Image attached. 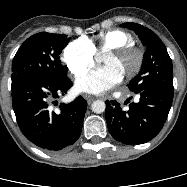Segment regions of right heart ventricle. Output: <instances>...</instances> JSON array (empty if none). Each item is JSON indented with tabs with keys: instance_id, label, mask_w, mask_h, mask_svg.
Returning <instances> with one entry per match:
<instances>
[{
	"instance_id": "1",
	"label": "right heart ventricle",
	"mask_w": 187,
	"mask_h": 187,
	"mask_svg": "<svg viewBox=\"0 0 187 187\" xmlns=\"http://www.w3.org/2000/svg\"><path fill=\"white\" fill-rule=\"evenodd\" d=\"M88 42L96 54H101L125 44H134L135 40L129 33L114 29L101 32Z\"/></svg>"
}]
</instances>
